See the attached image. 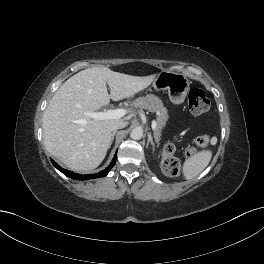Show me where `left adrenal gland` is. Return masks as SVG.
Returning a JSON list of instances; mask_svg holds the SVG:
<instances>
[{
  "instance_id": "1",
  "label": "left adrenal gland",
  "mask_w": 264,
  "mask_h": 264,
  "mask_svg": "<svg viewBox=\"0 0 264 264\" xmlns=\"http://www.w3.org/2000/svg\"><path fill=\"white\" fill-rule=\"evenodd\" d=\"M149 144H151L152 146L154 145L153 137H152L150 132H148L147 147H148Z\"/></svg>"
}]
</instances>
